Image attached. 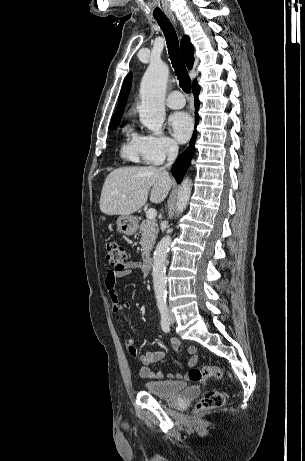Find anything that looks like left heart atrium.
<instances>
[{
    "label": "left heart atrium",
    "instance_id": "1",
    "mask_svg": "<svg viewBox=\"0 0 305 461\" xmlns=\"http://www.w3.org/2000/svg\"><path fill=\"white\" fill-rule=\"evenodd\" d=\"M169 124L173 136L179 142H185L190 137L193 129V121L187 113H173L169 118Z\"/></svg>",
    "mask_w": 305,
    "mask_h": 461
}]
</instances>
